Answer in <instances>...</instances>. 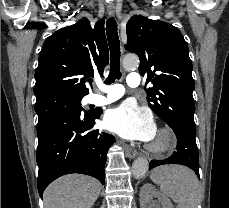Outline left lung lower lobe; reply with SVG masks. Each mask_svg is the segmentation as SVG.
<instances>
[{
    "mask_svg": "<svg viewBox=\"0 0 229 208\" xmlns=\"http://www.w3.org/2000/svg\"><path fill=\"white\" fill-rule=\"evenodd\" d=\"M173 131L177 137V151L167 159L152 160L149 169L164 164H180L192 169L199 178V155L196 145V130L188 127H173Z\"/></svg>",
    "mask_w": 229,
    "mask_h": 208,
    "instance_id": "left-lung-lower-lobe-1",
    "label": "left lung lower lobe"
}]
</instances>
